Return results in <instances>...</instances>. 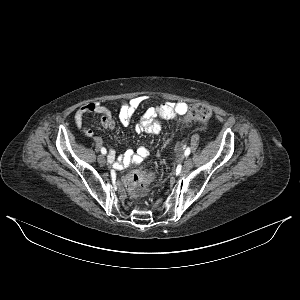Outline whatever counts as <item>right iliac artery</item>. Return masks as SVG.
Returning <instances> with one entry per match:
<instances>
[{"label": "right iliac artery", "instance_id": "82829eb1", "mask_svg": "<svg viewBox=\"0 0 300 300\" xmlns=\"http://www.w3.org/2000/svg\"><path fill=\"white\" fill-rule=\"evenodd\" d=\"M101 153L104 154V155L107 153V151H106V149L104 147L101 148Z\"/></svg>", "mask_w": 300, "mask_h": 300}]
</instances>
